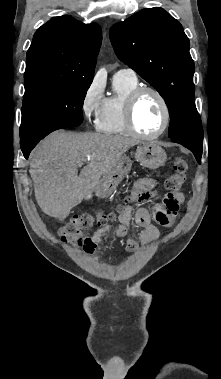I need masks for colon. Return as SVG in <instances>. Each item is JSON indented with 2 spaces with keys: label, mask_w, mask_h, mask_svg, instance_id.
<instances>
[{
  "label": "colon",
  "mask_w": 221,
  "mask_h": 379,
  "mask_svg": "<svg viewBox=\"0 0 221 379\" xmlns=\"http://www.w3.org/2000/svg\"><path fill=\"white\" fill-rule=\"evenodd\" d=\"M187 163L182 157H176L172 166V173L168 180V188L170 190H181L186 181ZM125 204L120 205L117 208V212L122 213ZM116 216L115 212L107 214H99L93 216L90 214H81L73 217L68 223H66L61 231L60 236L64 242L85 245L88 241V237L85 236V232L92 228L95 224L104 225L109 221H112Z\"/></svg>",
  "instance_id": "obj_1"
}]
</instances>
